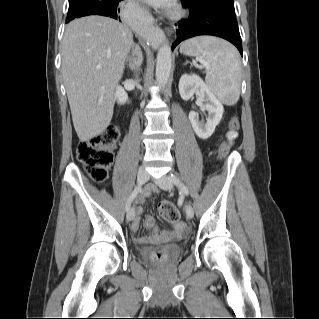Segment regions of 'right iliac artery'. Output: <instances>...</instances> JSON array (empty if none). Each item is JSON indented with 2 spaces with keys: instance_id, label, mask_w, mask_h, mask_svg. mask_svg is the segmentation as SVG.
I'll use <instances>...</instances> for the list:
<instances>
[{
  "instance_id": "1",
  "label": "right iliac artery",
  "mask_w": 319,
  "mask_h": 319,
  "mask_svg": "<svg viewBox=\"0 0 319 319\" xmlns=\"http://www.w3.org/2000/svg\"><path fill=\"white\" fill-rule=\"evenodd\" d=\"M141 191L140 186L136 187L133 192L131 193V195L129 196L127 203H126V211H129L131 203L134 201V199L136 198V196L139 194V192Z\"/></svg>"
}]
</instances>
